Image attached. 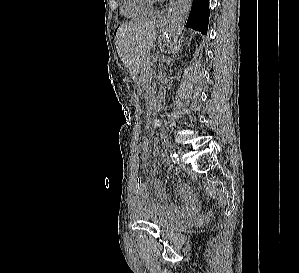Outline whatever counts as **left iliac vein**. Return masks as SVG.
<instances>
[{"label": "left iliac vein", "mask_w": 299, "mask_h": 273, "mask_svg": "<svg viewBox=\"0 0 299 273\" xmlns=\"http://www.w3.org/2000/svg\"><path fill=\"white\" fill-rule=\"evenodd\" d=\"M182 155H183V151H182V150H179V151H178L179 166H180V167H185V164H184V162H183V160H182Z\"/></svg>", "instance_id": "obj_1"}]
</instances>
